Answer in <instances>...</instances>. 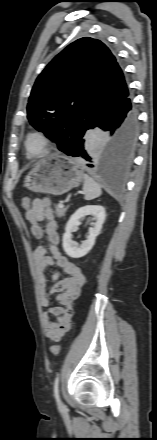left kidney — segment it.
Segmentation results:
<instances>
[{"mask_svg": "<svg viewBox=\"0 0 157 440\" xmlns=\"http://www.w3.org/2000/svg\"><path fill=\"white\" fill-rule=\"evenodd\" d=\"M89 215L95 217L96 223L93 227L89 228V235L87 239L79 247H77L75 246V242L72 240V230L79 225L80 219ZM105 218V209L102 206L87 205L79 208L70 217L65 227L62 243L65 253L71 258H80L85 256L94 246L95 239L101 232Z\"/></svg>", "mask_w": 157, "mask_h": 440, "instance_id": "obj_1", "label": "left kidney"}]
</instances>
